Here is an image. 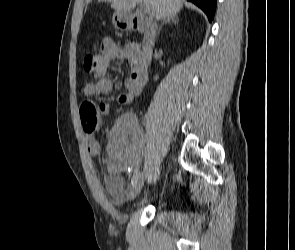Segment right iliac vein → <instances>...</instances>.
Listing matches in <instances>:
<instances>
[{
    "label": "right iliac vein",
    "mask_w": 295,
    "mask_h": 250,
    "mask_svg": "<svg viewBox=\"0 0 295 250\" xmlns=\"http://www.w3.org/2000/svg\"><path fill=\"white\" fill-rule=\"evenodd\" d=\"M143 185H144V181H143V179L137 181V182L133 185L132 189L130 190V193H129V195H128V198H129L130 200H135V199L138 197V195L140 194Z\"/></svg>",
    "instance_id": "63e3f726"
}]
</instances>
